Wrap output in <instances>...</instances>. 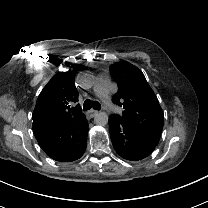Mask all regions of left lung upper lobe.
Returning <instances> with one entry per match:
<instances>
[{
	"instance_id": "left-lung-upper-lobe-1",
	"label": "left lung upper lobe",
	"mask_w": 208,
	"mask_h": 208,
	"mask_svg": "<svg viewBox=\"0 0 208 208\" xmlns=\"http://www.w3.org/2000/svg\"><path fill=\"white\" fill-rule=\"evenodd\" d=\"M110 72L118 84V92L112 101L124 109L123 116L120 117L142 136L158 145L164 114L144 74L128 62L111 65Z\"/></svg>"
}]
</instances>
